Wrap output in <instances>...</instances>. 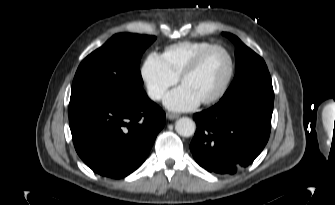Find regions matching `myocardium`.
I'll return each mask as SVG.
<instances>
[{
    "label": "myocardium",
    "mask_w": 335,
    "mask_h": 205,
    "mask_svg": "<svg viewBox=\"0 0 335 205\" xmlns=\"http://www.w3.org/2000/svg\"><path fill=\"white\" fill-rule=\"evenodd\" d=\"M213 50L223 51L229 59V65L230 66H229L228 75H227L225 81L223 82L222 86L220 87V89L214 95H212L211 97L200 101V103L204 104V105H210V104L218 102L226 94V92L228 91V89H229V87L232 83V80H233L234 74H235L236 64H235V59H234L232 53L230 52V50L223 45L212 44L209 47L203 49L201 52H199L193 58V60L186 66V68L183 70V72L180 75V81L183 84L184 80L188 76L192 75L193 73H195L200 68V66L202 65L206 56L210 52H212Z\"/></svg>",
    "instance_id": "myocardium-1"
}]
</instances>
